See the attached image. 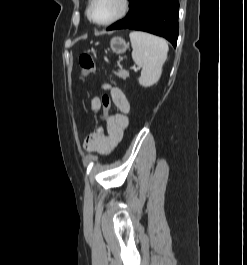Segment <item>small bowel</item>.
<instances>
[{
  "instance_id": "small-bowel-1",
  "label": "small bowel",
  "mask_w": 247,
  "mask_h": 265,
  "mask_svg": "<svg viewBox=\"0 0 247 265\" xmlns=\"http://www.w3.org/2000/svg\"><path fill=\"white\" fill-rule=\"evenodd\" d=\"M103 89L108 90L111 99L117 108V112L112 114L107 121L106 131L98 127L84 141V148L88 152L100 155L108 154L122 139L125 129L129 124L128 114L130 104L121 89L110 84H103ZM103 97H93L89 104L91 112H98L103 108Z\"/></svg>"
}]
</instances>
